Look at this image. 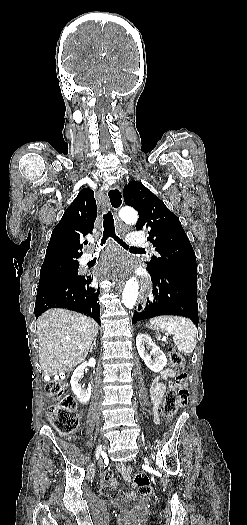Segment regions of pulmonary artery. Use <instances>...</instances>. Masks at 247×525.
<instances>
[{
    "label": "pulmonary artery",
    "instance_id": "obj_1",
    "mask_svg": "<svg viewBox=\"0 0 247 525\" xmlns=\"http://www.w3.org/2000/svg\"><path fill=\"white\" fill-rule=\"evenodd\" d=\"M125 240L131 246H142L146 241V237L145 236H126ZM93 258H94V255L91 253V248H87V252H85L81 256L80 261H91Z\"/></svg>",
    "mask_w": 247,
    "mask_h": 525
}]
</instances>
